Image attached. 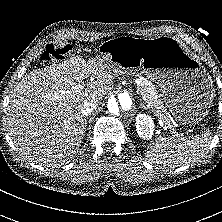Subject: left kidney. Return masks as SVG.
Listing matches in <instances>:
<instances>
[{
  "instance_id": "1",
  "label": "left kidney",
  "mask_w": 222,
  "mask_h": 222,
  "mask_svg": "<svg viewBox=\"0 0 222 222\" xmlns=\"http://www.w3.org/2000/svg\"><path fill=\"white\" fill-rule=\"evenodd\" d=\"M136 131L138 135L146 140L152 138L154 132V122L153 119L146 114H138L136 116Z\"/></svg>"
}]
</instances>
